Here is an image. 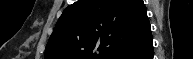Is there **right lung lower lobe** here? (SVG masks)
<instances>
[{
	"mask_svg": "<svg viewBox=\"0 0 193 59\" xmlns=\"http://www.w3.org/2000/svg\"><path fill=\"white\" fill-rule=\"evenodd\" d=\"M113 59H153L152 34L149 33L143 40Z\"/></svg>",
	"mask_w": 193,
	"mask_h": 59,
	"instance_id": "right-lung-lower-lobe-1",
	"label": "right lung lower lobe"
}]
</instances>
